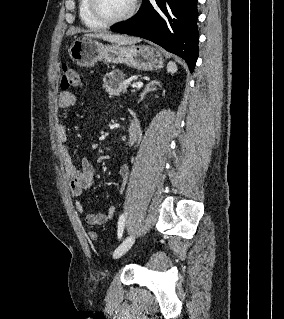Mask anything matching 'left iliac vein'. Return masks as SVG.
<instances>
[{
  "instance_id": "1",
  "label": "left iliac vein",
  "mask_w": 284,
  "mask_h": 319,
  "mask_svg": "<svg viewBox=\"0 0 284 319\" xmlns=\"http://www.w3.org/2000/svg\"><path fill=\"white\" fill-rule=\"evenodd\" d=\"M135 242V236L130 235L126 237L122 243L116 248V250L113 253L114 258H119L123 256L134 244Z\"/></svg>"
}]
</instances>
